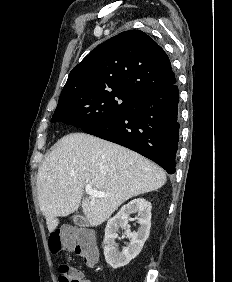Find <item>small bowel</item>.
I'll use <instances>...</instances> for the list:
<instances>
[{
    "label": "small bowel",
    "instance_id": "obj_1",
    "mask_svg": "<svg viewBox=\"0 0 232 282\" xmlns=\"http://www.w3.org/2000/svg\"><path fill=\"white\" fill-rule=\"evenodd\" d=\"M75 274L80 278V282H91L83 278V274L79 270H75Z\"/></svg>",
    "mask_w": 232,
    "mask_h": 282
}]
</instances>
